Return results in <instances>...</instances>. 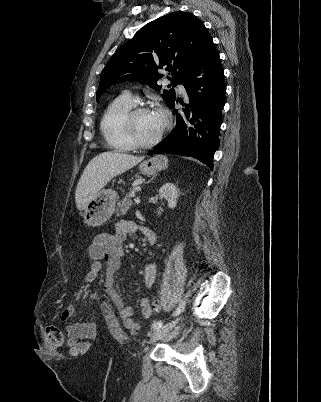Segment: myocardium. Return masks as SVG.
<instances>
[{"mask_svg":"<svg viewBox=\"0 0 321 402\" xmlns=\"http://www.w3.org/2000/svg\"><path fill=\"white\" fill-rule=\"evenodd\" d=\"M151 111L150 108L146 106H133L131 109H129L126 114L123 117V131L125 133V136L129 143L134 147L138 149H149L154 147L156 144H158L161 139L163 138L164 134L167 132V130L171 126V119L167 114H163L164 118V124L158 134L150 141L148 142H143L141 141L136 133H135V128H134V118L137 114L141 112H147Z\"/></svg>","mask_w":321,"mask_h":402,"instance_id":"1","label":"myocardium"}]
</instances>
